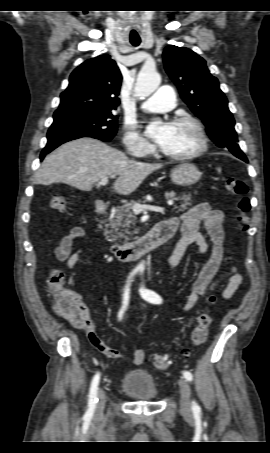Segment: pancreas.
<instances>
[{
  "instance_id": "cf45deb5",
  "label": "pancreas",
  "mask_w": 270,
  "mask_h": 453,
  "mask_svg": "<svg viewBox=\"0 0 270 453\" xmlns=\"http://www.w3.org/2000/svg\"><path fill=\"white\" fill-rule=\"evenodd\" d=\"M166 199L180 201L181 205L176 206L180 211H184L187 209V206L191 205L192 197L191 194H181L176 197V193L169 192L165 193ZM140 202V201H138ZM135 202L131 201L130 203H126L120 207L115 208L113 212V218L110 221V224L107 225V228L104 231V236L110 242H115L119 238H125L129 240L133 233H137V231L131 232L130 228L135 224L133 213L131 212L132 206ZM110 228V229H108Z\"/></svg>"
}]
</instances>
